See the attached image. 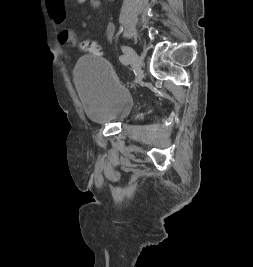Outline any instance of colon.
I'll use <instances>...</instances> for the list:
<instances>
[{
  "label": "colon",
  "instance_id": "1",
  "mask_svg": "<svg viewBox=\"0 0 253 267\" xmlns=\"http://www.w3.org/2000/svg\"><path fill=\"white\" fill-rule=\"evenodd\" d=\"M58 37L60 43L63 45L97 56L102 55V48L96 41L82 39L76 32H72L67 28L62 29Z\"/></svg>",
  "mask_w": 253,
  "mask_h": 267
}]
</instances>
